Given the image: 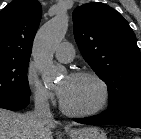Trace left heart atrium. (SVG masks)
Masks as SVG:
<instances>
[{"mask_svg": "<svg viewBox=\"0 0 141 139\" xmlns=\"http://www.w3.org/2000/svg\"><path fill=\"white\" fill-rule=\"evenodd\" d=\"M58 92H59V95L61 97L62 96V91L61 90H58Z\"/></svg>", "mask_w": 141, "mask_h": 139, "instance_id": "1", "label": "left heart atrium"}]
</instances>
